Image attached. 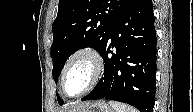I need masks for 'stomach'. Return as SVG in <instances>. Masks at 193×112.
Listing matches in <instances>:
<instances>
[{"mask_svg": "<svg viewBox=\"0 0 193 112\" xmlns=\"http://www.w3.org/2000/svg\"><path fill=\"white\" fill-rule=\"evenodd\" d=\"M77 112H113V110L105 101L99 100L88 103Z\"/></svg>", "mask_w": 193, "mask_h": 112, "instance_id": "obj_1", "label": "stomach"}]
</instances>
